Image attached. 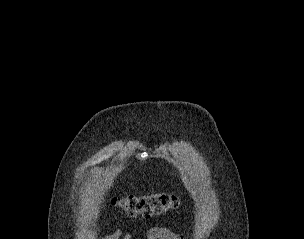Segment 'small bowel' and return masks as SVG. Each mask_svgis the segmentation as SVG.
Masks as SVG:
<instances>
[{
	"label": "small bowel",
	"mask_w": 304,
	"mask_h": 239,
	"mask_svg": "<svg viewBox=\"0 0 304 239\" xmlns=\"http://www.w3.org/2000/svg\"><path fill=\"white\" fill-rule=\"evenodd\" d=\"M131 233L122 234L119 229H116L111 234L103 237L102 239H132ZM147 239H185L182 233L173 231L165 227H153L147 231Z\"/></svg>",
	"instance_id": "1"
}]
</instances>
